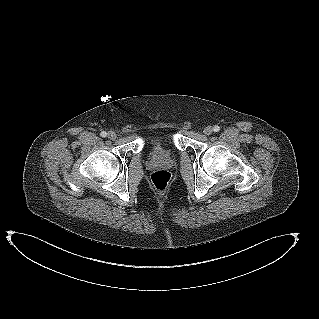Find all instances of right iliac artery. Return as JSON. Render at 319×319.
<instances>
[{"instance_id": "82829eb1", "label": "right iliac artery", "mask_w": 319, "mask_h": 319, "mask_svg": "<svg viewBox=\"0 0 319 319\" xmlns=\"http://www.w3.org/2000/svg\"><path fill=\"white\" fill-rule=\"evenodd\" d=\"M102 137H106L107 136V133L105 131L101 132L100 134Z\"/></svg>"}]
</instances>
